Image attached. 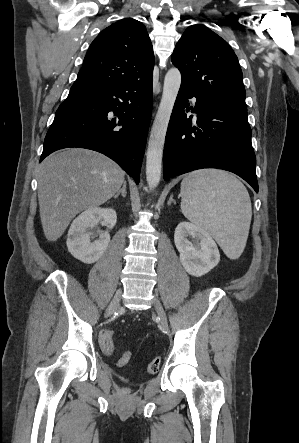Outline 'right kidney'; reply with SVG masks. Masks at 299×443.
I'll return each mask as SVG.
<instances>
[{
    "label": "right kidney",
    "instance_id": "1",
    "mask_svg": "<svg viewBox=\"0 0 299 443\" xmlns=\"http://www.w3.org/2000/svg\"><path fill=\"white\" fill-rule=\"evenodd\" d=\"M108 228H113L117 215L112 208L92 207L86 209L75 218L68 231L67 247L71 255L86 264L99 260L110 242L108 232L99 235V239L91 242L93 229L102 221Z\"/></svg>",
    "mask_w": 299,
    "mask_h": 443
}]
</instances>
